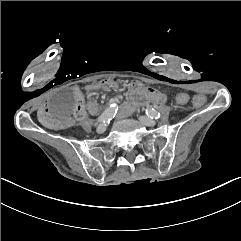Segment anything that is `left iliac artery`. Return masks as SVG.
I'll list each match as a JSON object with an SVG mask.
<instances>
[{
	"instance_id": "44dca946",
	"label": "left iliac artery",
	"mask_w": 241,
	"mask_h": 241,
	"mask_svg": "<svg viewBox=\"0 0 241 241\" xmlns=\"http://www.w3.org/2000/svg\"><path fill=\"white\" fill-rule=\"evenodd\" d=\"M146 114L147 116H149L150 118H154V119H158L160 118V113L157 112L156 110L152 109H146Z\"/></svg>"
}]
</instances>
